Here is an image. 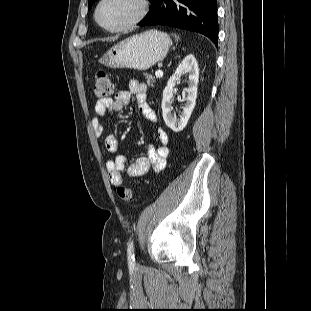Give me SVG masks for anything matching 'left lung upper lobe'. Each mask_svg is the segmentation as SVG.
I'll return each instance as SVG.
<instances>
[{
    "instance_id": "5c2ea615",
    "label": "left lung upper lobe",
    "mask_w": 311,
    "mask_h": 311,
    "mask_svg": "<svg viewBox=\"0 0 311 311\" xmlns=\"http://www.w3.org/2000/svg\"><path fill=\"white\" fill-rule=\"evenodd\" d=\"M96 0H89L88 1V8L90 9L91 6L93 5V3L95 2Z\"/></svg>"
}]
</instances>
